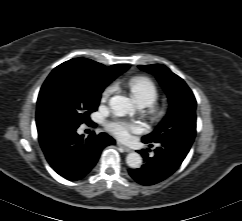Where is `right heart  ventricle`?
Returning a JSON list of instances; mask_svg holds the SVG:
<instances>
[{
  "label": "right heart ventricle",
  "instance_id": "right-heart-ventricle-1",
  "mask_svg": "<svg viewBox=\"0 0 242 221\" xmlns=\"http://www.w3.org/2000/svg\"><path fill=\"white\" fill-rule=\"evenodd\" d=\"M128 87L139 105L150 106L158 99L159 92L156 85L146 77L130 79Z\"/></svg>",
  "mask_w": 242,
  "mask_h": 221
}]
</instances>
